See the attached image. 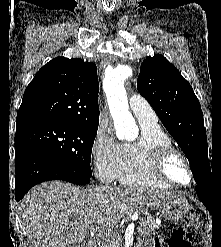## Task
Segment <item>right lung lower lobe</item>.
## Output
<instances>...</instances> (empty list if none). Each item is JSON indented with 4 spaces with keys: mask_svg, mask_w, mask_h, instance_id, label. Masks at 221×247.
I'll list each match as a JSON object with an SVG mask.
<instances>
[{
    "mask_svg": "<svg viewBox=\"0 0 221 247\" xmlns=\"http://www.w3.org/2000/svg\"><path fill=\"white\" fill-rule=\"evenodd\" d=\"M15 158L16 201L41 182L63 180L77 185L90 182L89 176L73 171L46 152L26 144H15Z\"/></svg>",
    "mask_w": 221,
    "mask_h": 247,
    "instance_id": "1",
    "label": "right lung lower lobe"
}]
</instances>
